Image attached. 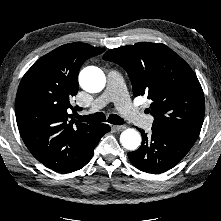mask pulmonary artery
<instances>
[{
  "instance_id": "obj_1",
  "label": "pulmonary artery",
  "mask_w": 221,
  "mask_h": 221,
  "mask_svg": "<svg viewBox=\"0 0 221 221\" xmlns=\"http://www.w3.org/2000/svg\"><path fill=\"white\" fill-rule=\"evenodd\" d=\"M110 102H114L118 111L130 122L144 128L151 127L153 117L144 114L139 108L131 103L123 78L116 71H110L108 73L106 89L94 100L90 106V111H97Z\"/></svg>"
}]
</instances>
